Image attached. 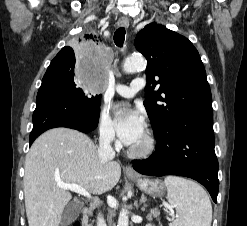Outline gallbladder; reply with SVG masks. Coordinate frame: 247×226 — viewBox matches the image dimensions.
Here are the masks:
<instances>
[{
	"instance_id": "1",
	"label": "gallbladder",
	"mask_w": 247,
	"mask_h": 226,
	"mask_svg": "<svg viewBox=\"0 0 247 226\" xmlns=\"http://www.w3.org/2000/svg\"><path fill=\"white\" fill-rule=\"evenodd\" d=\"M81 208H82L81 202L79 201L69 202L64 208L61 219V226H69L72 222H74L77 219Z\"/></svg>"
}]
</instances>
